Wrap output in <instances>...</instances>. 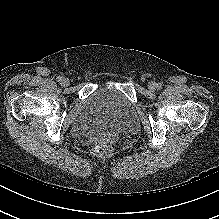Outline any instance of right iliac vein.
I'll return each instance as SVG.
<instances>
[{"label": "right iliac vein", "instance_id": "obj_1", "mask_svg": "<svg viewBox=\"0 0 219 219\" xmlns=\"http://www.w3.org/2000/svg\"><path fill=\"white\" fill-rule=\"evenodd\" d=\"M61 84L64 86V87H67L70 85V80L68 78H63V80L61 81Z\"/></svg>", "mask_w": 219, "mask_h": 219}]
</instances>
